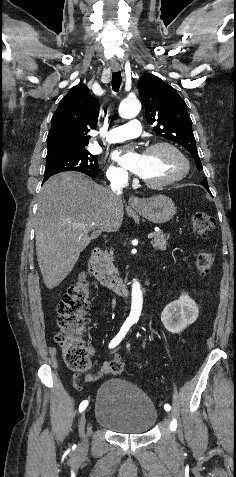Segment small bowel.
<instances>
[{"instance_id": "small-bowel-1", "label": "small bowel", "mask_w": 236, "mask_h": 477, "mask_svg": "<svg viewBox=\"0 0 236 477\" xmlns=\"http://www.w3.org/2000/svg\"><path fill=\"white\" fill-rule=\"evenodd\" d=\"M87 349H88L89 355L91 357H93L94 354H95V351H94L93 347L88 346ZM109 372H110L109 362L106 361V362L103 363V365L101 366V368L98 371L88 372L85 375V381L88 382V383H96L99 380H101L105 375L109 374Z\"/></svg>"}]
</instances>
